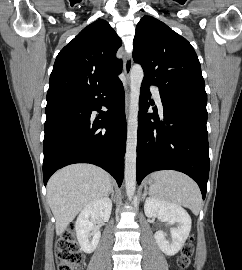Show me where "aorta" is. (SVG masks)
<instances>
[{
	"label": "aorta",
	"mask_w": 242,
	"mask_h": 270,
	"mask_svg": "<svg viewBox=\"0 0 242 270\" xmlns=\"http://www.w3.org/2000/svg\"><path fill=\"white\" fill-rule=\"evenodd\" d=\"M144 72L139 64H135L130 73V106L127 124V143L125 154V187L129 200L132 199L136 189V149L138 130V111L141 83Z\"/></svg>",
	"instance_id": "aorta-1"
}]
</instances>
